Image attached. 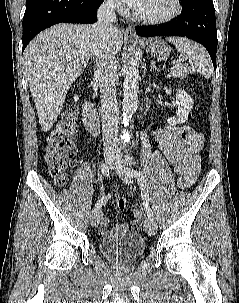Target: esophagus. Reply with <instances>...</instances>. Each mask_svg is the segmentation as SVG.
Here are the masks:
<instances>
[{
  "label": "esophagus",
  "instance_id": "esophagus-1",
  "mask_svg": "<svg viewBox=\"0 0 239 303\" xmlns=\"http://www.w3.org/2000/svg\"><path fill=\"white\" fill-rule=\"evenodd\" d=\"M124 36L130 39L138 40L139 37L135 33L134 27L132 25H128L124 31Z\"/></svg>",
  "mask_w": 239,
  "mask_h": 303
}]
</instances>
